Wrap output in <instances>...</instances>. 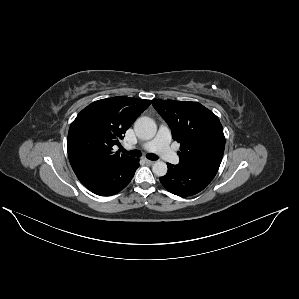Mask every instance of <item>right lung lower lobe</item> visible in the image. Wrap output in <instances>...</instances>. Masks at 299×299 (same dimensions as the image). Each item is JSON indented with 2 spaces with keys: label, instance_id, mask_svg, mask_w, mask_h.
Listing matches in <instances>:
<instances>
[{
  "label": "right lung lower lobe",
  "instance_id": "98d812e1",
  "mask_svg": "<svg viewBox=\"0 0 299 299\" xmlns=\"http://www.w3.org/2000/svg\"><path fill=\"white\" fill-rule=\"evenodd\" d=\"M139 167V159L104 164L77 174L79 181L90 191L101 196H110L126 187Z\"/></svg>",
  "mask_w": 299,
  "mask_h": 299
}]
</instances>
